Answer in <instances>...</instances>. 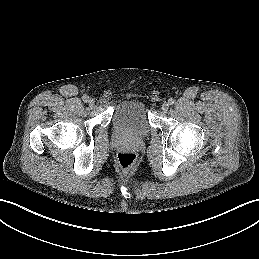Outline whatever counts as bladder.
I'll return each instance as SVG.
<instances>
[{
	"label": "bladder",
	"mask_w": 259,
	"mask_h": 259,
	"mask_svg": "<svg viewBox=\"0 0 259 259\" xmlns=\"http://www.w3.org/2000/svg\"><path fill=\"white\" fill-rule=\"evenodd\" d=\"M112 126L115 131L132 135H147L150 122L146 104L137 98L121 101L112 116Z\"/></svg>",
	"instance_id": "obj_1"
}]
</instances>
